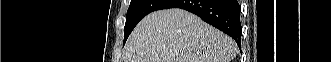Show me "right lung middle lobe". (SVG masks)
I'll return each mask as SVG.
<instances>
[{"label": "right lung middle lobe", "instance_id": "1", "mask_svg": "<svg viewBox=\"0 0 331 62\" xmlns=\"http://www.w3.org/2000/svg\"><path fill=\"white\" fill-rule=\"evenodd\" d=\"M171 0H131L124 27V43L137 23L147 14L163 9Z\"/></svg>", "mask_w": 331, "mask_h": 62}]
</instances>
